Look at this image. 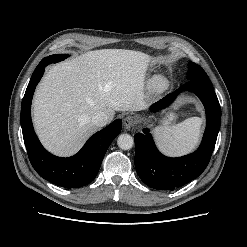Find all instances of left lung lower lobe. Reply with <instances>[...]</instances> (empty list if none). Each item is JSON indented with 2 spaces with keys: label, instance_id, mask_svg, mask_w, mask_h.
<instances>
[{
  "label": "left lung lower lobe",
  "instance_id": "obj_1",
  "mask_svg": "<svg viewBox=\"0 0 247 247\" xmlns=\"http://www.w3.org/2000/svg\"><path fill=\"white\" fill-rule=\"evenodd\" d=\"M192 91L206 111V130L199 148L178 158L162 155L156 148L148 129L135 134V167L140 179L149 187L171 190L197 178L207 167L214 150L221 124V108L211 83L191 80L152 106L153 110L168 106L182 91Z\"/></svg>",
  "mask_w": 247,
  "mask_h": 247
}]
</instances>
